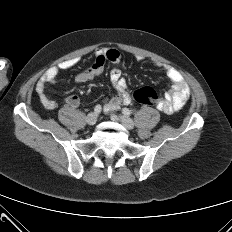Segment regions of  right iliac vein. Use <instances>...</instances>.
<instances>
[{
  "instance_id": "right-iliac-vein-1",
  "label": "right iliac vein",
  "mask_w": 232,
  "mask_h": 232,
  "mask_svg": "<svg viewBox=\"0 0 232 232\" xmlns=\"http://www.w3.org/2000/svg\"><path fill=\"white\" fill-rule=\"evenodd\" d=\"M86 122L88 125H94L97 122V115L95 113L88 114Z\"/></svg>"
}]
</instances>
